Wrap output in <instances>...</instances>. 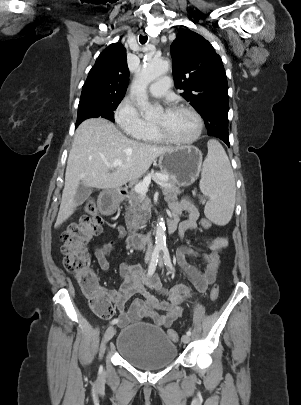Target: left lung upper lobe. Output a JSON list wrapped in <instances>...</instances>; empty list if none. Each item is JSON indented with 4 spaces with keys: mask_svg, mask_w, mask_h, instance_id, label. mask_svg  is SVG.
Here are the masks:
<instances>
[{
    "mask_svg": "<svg viewBox=\"0 0 301 405\" xmlns=\"http://www.w3.org/2000/svg\"><path fill=\"white\" fill-rule=\"evenodd\" d=\"M170 50L180 95L202 116L208 135H228V84L221 57L189 29L176 36Z\"/></svg>",
    "mask_w": 301,
    "mask_h": 405,
    "instance_id": "left-lung-upper-lobe-1",
    "label": "left lung upper lobe"
}]
</instances>
